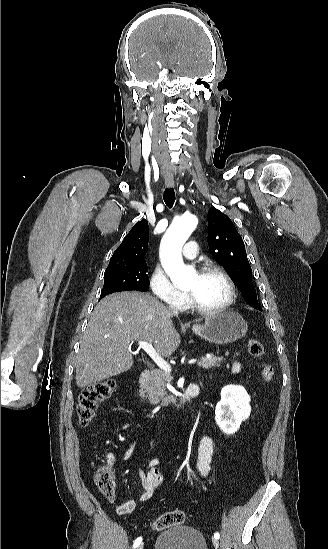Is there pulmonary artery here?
Listing matches in <instances>:
<instances>
[{
	"label": "pulmonary artery",
	"mask_w": 328,
	"mask_h": 549,
	"mask_svg": "<svg viewBox=\"0 0 328 549\" xmlns=\"http://www.w3.org/2000/svg\"><path fill=\"white\" fill-rule=\"evenodd\" d=\"M198 243L196 241H187V246L183 250V256L188 259H194L198 253Z\"/></svg>",
	"instance_id": "e3ab8cb5"
}]
</instances>
